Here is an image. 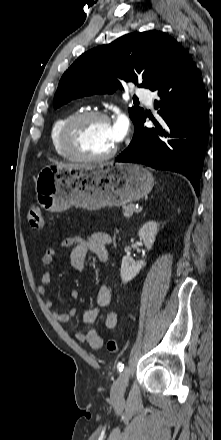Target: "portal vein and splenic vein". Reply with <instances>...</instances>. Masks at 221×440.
<instances>
[{
  "mask_svg": "<svg viewBox=\"0 0 221 440\" xmlns=\"http://www.w3.org/2000/svg\"><path fill=\"white\" fill-rule=\"evenodd\" d=\"M142 210H143V208H142V207H139V208H138V207H136V210H135V212H136V213H140V212H141Z\"/></svg>",
  "mask_w": 221,
  "mask_h": 440,
  "instance_id": "1",
  "label": "portal vein and splenic vein"
}]
</instances>
